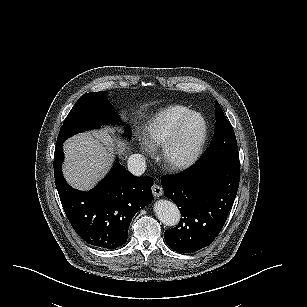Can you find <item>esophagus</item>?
<instances>
[{
  "label": "esophagus",
  "instance_id": "1",
  "mask_svg": "<svg viewBox=\"0 0 307 307\" xmlns=\"http://www.w3.org/2000/svg\"><path fill=\"white\" fill-rule=\"evenodd\" d=\"M152 193L154 197H160L163 195V189L158 184H153Z\"/></svg>",
  "mask_w": 307,
  "mask_h": 307
}]
</instances>
